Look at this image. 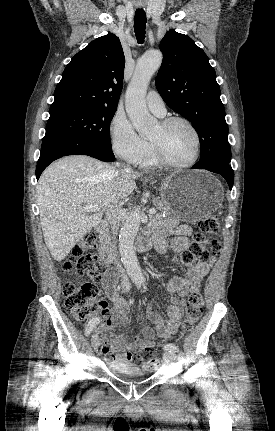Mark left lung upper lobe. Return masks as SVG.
<instances>
[{"label":"left lung upper lobe","mask_w":275,"mask_h":431,"mask_svg":"<svg viewBox=\"0 0 275 431\" xmlns=\"http://www.w3.org/2000/svg\"><path fill=\"white\" fill-rule=\"evenodd\" d=\"M163 63L156 87L165 103L188 119L199 136L198 165H228L231 148L220 87L205 52L187 35L174 30L160 43Z\"/></svg>","instance_id":"obj_1"}]
</instances>
